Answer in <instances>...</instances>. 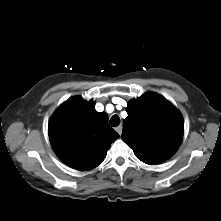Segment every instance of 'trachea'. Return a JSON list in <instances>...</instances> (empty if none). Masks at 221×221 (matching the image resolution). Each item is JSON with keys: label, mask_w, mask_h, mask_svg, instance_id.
<instances>
[{"label": "trachea", "mask_w": 221, "mask_h": 221, "mask_svg": "<svg viewBox=\"0 0 221 221\" xmlns=\"http://www.w3.org/2000/svg\"><path fill=\"white\" fill-rule=\"evenodd\" d=\"M120 124V118L118 115H113L111 118H110V125L112 127H117L118 125Z\"/></svg>", "instance_id": "3493384b"}]
</instances>
